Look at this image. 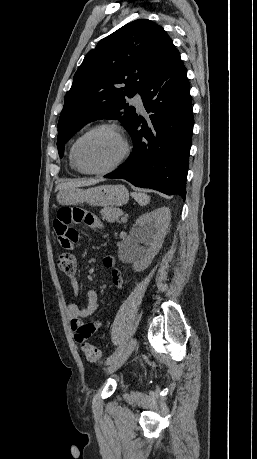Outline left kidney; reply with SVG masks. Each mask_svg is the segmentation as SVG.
I'll return each instance as SVG.
<instances>
[{
	"label": "left kidney",
	"instance_id": "1",
	"mask_svg": "<svg viewBox=\"0 0 257 459\" xmlns=\"http://www.w3.org/2000/svg\"><path fill=\"white\" fill-rule=\"evenodd\" d=\"M171 214L167 207L157 208L141 215L132 231V244L129 256L133 261V269L142 271L147 268L162 247L170 224ZM147 247H140L139 243Z\"/></svg>",
	"mask_w": 257,
	"mask_h": 459
}]
</instances>
